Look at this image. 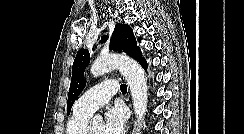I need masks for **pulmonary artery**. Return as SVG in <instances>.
Wrapping results in <instances>:
<instances>
[{
	"mask_svg": "<svg viewBox=\"0 0 244 134\" xmlns=\"http://www.w3.org/2000/svg\"><path fill=\"white\" fill-rule=\"evenodd\" d=\"M117 91V82L106 80L87 90L76 101L74 108L76 111L92 115L98 108L105 105Z\"/></svg>",
	"mask_w": 244,
	"mask_h": 134,
	"instance_id": "1",
	"label": "pulmonary artery"
}]
</instances>
